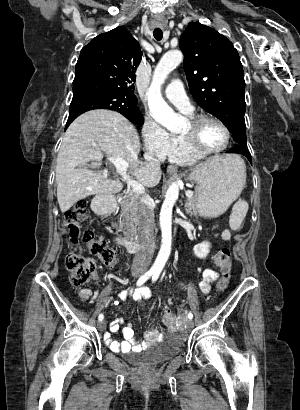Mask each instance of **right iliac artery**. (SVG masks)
Here are the masks:
<instances>
[{
	"label": "right iliac artery",
	"mask_w": 300,
	"mask_h": 410,
	"mask_svg": "<svg viewBox=\"0 0 300 410\" xmlns=\"http://www.w3.org/2000/svg\"><path fill=\"white\" fill-rule=\"evenodd\" d=\"M154 274V272L152 271H147L144 275H142L138 281H137V286H141L143 285L152 275ZM104 319V315L100 314L98 317L99 321H102Z\"/></svg>",
	"instance_id": "right-iliac-artery-1"
}]
</instances>
